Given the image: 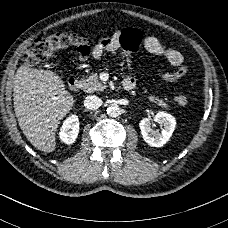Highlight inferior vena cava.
Listing matches in <instances>:
<instances>
[{"mask_svg":"<svg viewBox=\"0 0 228 228\" xmlns=\"http://www.w3.org/2000/svg\"><path fill=\"white\" fill-rule=\"evenodd\" d=\"M84 104L87 109L96 110L103 104V101L98 96L91 95L86 97Z\"/></svg>","mask_w":228,"mask_h":228,"instance_id":"inferior-vena-cava-1","label":"inferior vena cava"}]
</instances>
